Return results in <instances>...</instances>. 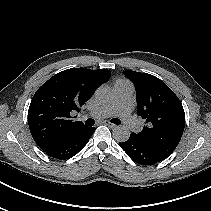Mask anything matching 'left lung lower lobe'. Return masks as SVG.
I'll return each mask as SVG.
<instances>
[{
    "label": "left lung lower lobe",
    "instance_id": "0a47b994",
    "mask_svg": "<svg viewBox=\"0 0 211 211\" xmlns=\"http://www.w3.org/2000/svg\"><path fill=\"white\" fill-rule=\"evenodd\" d=\"M119 146L136 163L141 165H153L166 158V156L144 145L133 134L130 138L119 143Z\"/></svg>",
    "mask_w": 211,
    "mask_h": 211
}]
</instances>
